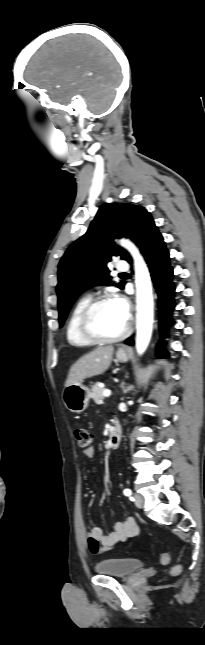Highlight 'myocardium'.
Returning <instances> with one entry per match:
<instances>
[{
  "label": "myocardium",
  "instance_id": "f54148a6",
  "mask_svg": "<svg viewBox=\"0 0 205 645\" xmlns=\"http://www.w3.org/2000/svg\"><path fill=\"white\" fill-rule=\"evenodd\" d=\"M112 298L108 295H102L91 299L88 304L84 307L80 315V331L82 335L91 341L92 343L103 344V343H113L124 339L131 330L130 321L127 320L125 328L114 336H103L98 334L93 327V317L102 304L111 301Z\"/></svg>",
  "mask_w": 205,
  "mask_h": 645
}]
</instances>
